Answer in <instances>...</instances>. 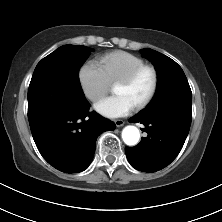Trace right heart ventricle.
Returning <instances> with one entry per match:
<instances>
[{
  "mask_svg": "<svg viewBox=\"0 0 222 222\" xmlns=\"http://www.w3.org/2000/svg\"><path fill=\"white\" fill-rule=\"evenodd\" d=\"M99 64L111 84L117 83L137 67L145 64L138 56L124 51H114L99 59Z\"/></svg>",
  "mask_w": 222,
  "mask_h": 222,
  "instance_id": "obj_1",
  "label": "right heart ventricle"
}]
</instances>
